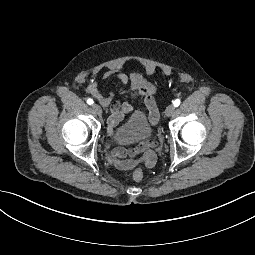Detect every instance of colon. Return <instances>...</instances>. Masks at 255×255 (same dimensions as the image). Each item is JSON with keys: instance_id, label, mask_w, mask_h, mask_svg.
<instances>
[{"instance_id": "colon-1", "label": "colon", "mask_w": 255, "mask_h": 255, "mask_svg": "<svg viewBox=\"0 0 255 255\" xmlns=\"http://www.w3.org/2000/svg\"><path fill=\"white\" fill-rule=\"evenodd\" d=\"M132 177L135 181H142L144 178V172L141 169H136L132 173Z\"/></svg>"}]
</instances>
